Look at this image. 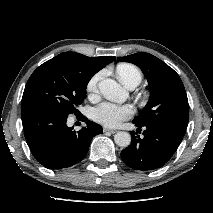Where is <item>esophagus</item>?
<instances>
[{"mask_svg":"<svg viewBox=\"0 0 213 213\" xmlns=\"http://www.w3.org/2000/svg\"><path fill=\"white\" fill-rule=\"evenodd\" d=\"M103 131H104V133H112V134L117 132V130L109 129V128H104Z\"/></svg>","mask_w":213,"mask_h":213,"instance_id":"1","label":"esophagus"}]
</instances>
